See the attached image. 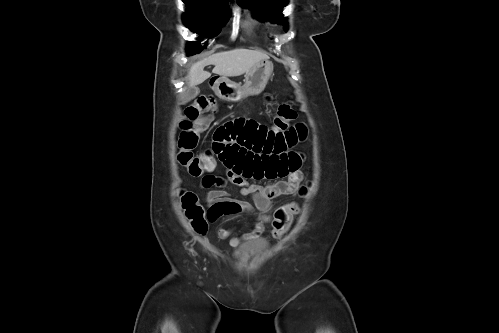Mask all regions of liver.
Returning <instances> with one entry per match:
<instances>
[{
	"instance_id": "6515ba94",
	"label": "liver",
	"mask_w": 499,
	"mask_h": 333,
	"mask_svg": "<svg viewBox=\"0 0 499 333\" xmlns=\"http://www.w3.org/2000/svg\"><path fill=\"white\" fill-rule=\"evenodd\" d=\"M269 56L261 51L234 49L223 51L193 63L188 70L189 86L203 83L211 76L204 70L207 65H214L212 72L224 77H236L247 73L255 64L268 60Z\"/></svg>"
}]
</instances>
